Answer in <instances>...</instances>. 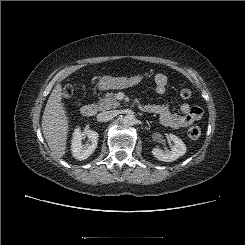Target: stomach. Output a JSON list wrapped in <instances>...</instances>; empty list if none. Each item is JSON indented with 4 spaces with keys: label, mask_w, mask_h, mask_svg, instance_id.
<instances>
[{
    "label": "stomach",
    "mask_w": 245,
    "mask_h": 245,
    "mask_svg": "<svg viewBox=\"0 0 245 245\" xmlns=\"http://www.w3.org/2000/svg\"><path fill=\"white\" fill-rule=\"evenodd\" d=\"M142 79L143 77L140 75H136L133 77L103 76L98 82V88L100 90L125 89L140 84L142 82Z\"/></svg>",
    "instance_id": "0dacf381"
}]
</instances>
